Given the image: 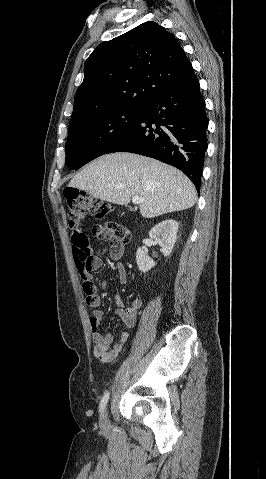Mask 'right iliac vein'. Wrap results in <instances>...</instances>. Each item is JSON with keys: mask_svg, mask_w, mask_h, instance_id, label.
Here are the masks:
<instances>
[{"mask_svg": "<svg viewBox=\"0 0 266 479\" xmlns=\"http://www.w3.org/2000/svg\"><path fill=\"white\" fill-rule=\"evenodd\" d=\"M100 427L104 431H107L109 428V420H108V414L107 411H104L103 415L101 416L100 419Z\"/></svg>", "mask_w": 266, "mask_h": 479, "instance_id": "obj_1", "label": "right iliac vein"}]
</instances>
